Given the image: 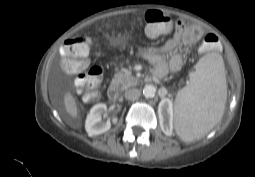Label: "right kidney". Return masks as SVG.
<instances>
[{
	"instance_id": "obj_1",
	"label": "right kidney",
	"mask_w": 255,
	"mask_h": 177,
	"mask_svg": "<svg viewBox=\"0 0 255 177\" xmlns=\"http://www.w3.org/2000/svg\"><path fill=\"white\" fill-rule=\"evenodd\" d=\"M106 109L107 106L104 103L96 104L91 108L85 122V129L89 136L102 134L110 129L112 123H117V117L106 122L102 121L101 115Z\"/></svg>"
}]
</instances>
